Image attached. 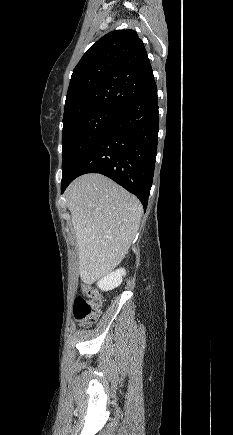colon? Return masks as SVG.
Listing matches in <instances>:
<instances>
[{"label": "colon", "mask_w": 233, "mask_h": 435, "mask_svg": "<svg viewBox=\"0 0 233 435\" xmlns=\"http://www.w3.org/2000/svg\"><path fill=\"white\" fill-rule=\"evenodd\" d=\"M104 302L91 286H85L74 300V318L84 327L92 326L100 317Z\"/></svg>", "instance_id": "5ec220e1"}]
</instances>
